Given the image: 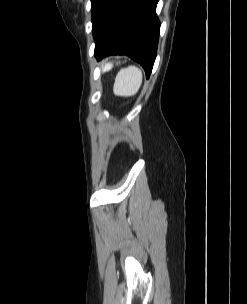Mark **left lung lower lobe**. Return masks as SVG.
<instances>
[{"label":"left lung lower lobe","mask_w":247,"mask_h":304,"mask_svg":"<svg viewBox=\"0 0 247 304\" xmlns=\"http://www.w3.org/2000/svg\"><path fill=\"white\" fill-rule=\"evenodd\" d=\"M157 3L158 0H101L92 17L97 59L125 54L140 63L149 78L160 30Z\"/></svg>","instance_id":"obj_1"}]
</instances>
